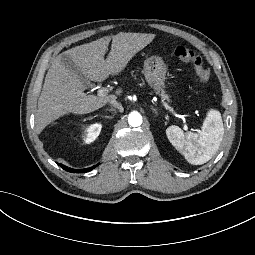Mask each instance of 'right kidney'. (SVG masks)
I'll return each instance as SVG.
<instances>
[{
    "mask_svg": "<svg viewBox=\"0 0 255 255\" xmlns=\"http://www.w3.org/2000/svg\"><path fill=\"white\" fill-rule=\"evenodd\" d=\"M102 125L100 123L91 124L84 127L82 138L85 143L93 142L100 134Z\"/></svg>",
    "mask_w": 255,
    "mask_h": 255,
    "instance_id": "right-kidney-1",
    "label": "right kidney"
}]
</instances>
